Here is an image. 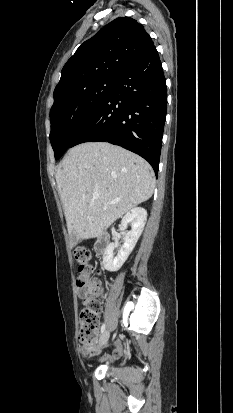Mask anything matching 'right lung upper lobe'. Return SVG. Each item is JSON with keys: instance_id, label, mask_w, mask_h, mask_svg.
<instances>
[{"instance_id": "right-lung-upper-lobe-1", "label": "right lung upper lobe", "mask_w": 233, "mask_h": 413, "mask_svg": "<svg viewBox=\"0 0 233 413\" xmlns=\"http://www.w3.org/2000/svg\"><path fill=\"white\" fill-rule=\"evenodd\" d=\"M153 46L144 27L119 17L85 41L67 61L54 90V100L103 78H115Z\"/></svg>"}]
</instances>
